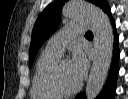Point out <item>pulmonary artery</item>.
<instances>
[{
  "instance_id": "1",
  "label": "pulmonary artery",
  "mask_w": 128,
  "mask_h": 99,
  "mask_svg": "<svg viewBox=\"0 0 128 99\" xmlns=\"http://www.w3.org/2000/svg\"><path fill=\"white\" fill-rule=\"evenodd\" d=\"M89 28L86 21L69 23L58 31L48 41L46 48L56 53L62 54L65 46L72 41L78 34L83 33Z\"/></svg>"
}]
</instances>
